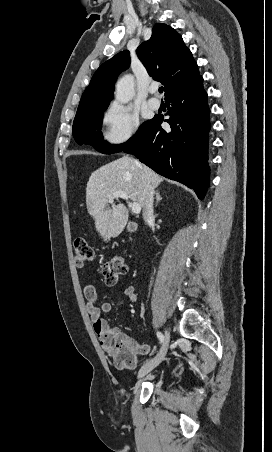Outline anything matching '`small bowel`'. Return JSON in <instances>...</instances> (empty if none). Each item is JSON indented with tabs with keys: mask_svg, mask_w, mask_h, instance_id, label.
I'll use <instances>...</instances> for the list:
<instances>
[{
	"mask_svg": "<svg viewBox=\"0 0 272 452\" xmlns=\"http://www.w3.org/2000/svg\"><path fill=\"white\" fill-rule=\"evenodd\" d=\"M123 294L129 301L133 303L137 301L136 290L133 286H127L124 289ZM84 296L86 299V310L90 316L94 331L99 337L102 348L106 352V340L110 336L125 335L126 337L130 338L129 336L124 334L119 327H110L108 323L102 318V314L111 312L112 305L109 302H104L100 306L97 305L98 293L93 285L88 284L84 287ZM136 347L137 353L140 355H147L151 351V346L147 343L140 345L136 344Z\"/></svg>",
	"mask_w": 272,
	"mask_h": 452,
	"instance_id": "small-bowel-1",
	"label": "small bowel"
}]
</instances>
